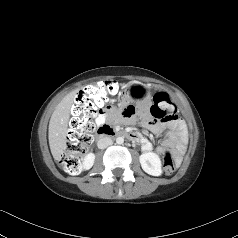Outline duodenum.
I'll return each mask as SVG.
<instances>
[{"label": "duodenum", "mask_w": 238, "mask_h": 238, "mask_svg": "<svg viewBox=\"0 0 238 238\" xmlns=\"http://www.w3.org/2000/svg\"><path fill=\"white\" fill-rule=\"evenodd\" d=\"M97 134H98L99 138L120 136V137H126L132 141L138 140V136L135 133H129V132H124V131H115L108 125L100 126L97 130Z\"/></svg>", "instance_id": "410a0bca"}]
</instances>
